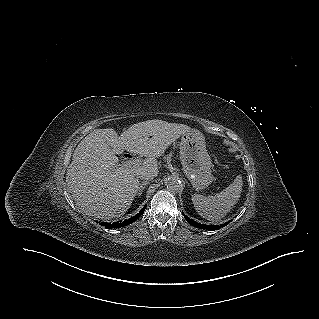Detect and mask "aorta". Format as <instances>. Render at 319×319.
<instances>
[{
	"mask_svg": "<svg viewBox=\"0 0 319 319\" xmlns=\"http://www.w3.org/2000/svg\"><path fill=\"white\" fill-rule=\"evenodd\" d=\"M165 185L168 190L172 192H177L182 188V183L181 181L173 176H169L168 178L165 179Z\"/></svg>",
	"mask_w": 319,
	"mask_h": 319,
	"instance_id": "aorta-1",
	"label": "aorta"
}]
</instances>
